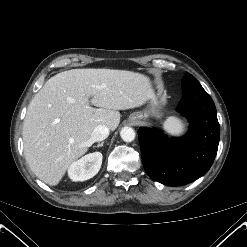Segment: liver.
Wrapping results in <instances>:
<instances>
[{
  "mask_svg": "<svg viewBox=\"0 0 247 247\" xmlns=\"http://www.w3.org/2000/svg\"><path fill=\"white\" fill-rule=\"evenodd\" d=\"M152 97L149 77L132 71L89 68L56 74L31 100L24 119L30 169L44 183L57 185L93 144L96 126L114 131L120 123L118 110L139 107Z\"/></svg>",
  "mask_w": 247,
  "mask_h": 247,
  "instance_id": "6515ba94",
  "label": "liver"
}]
</instances>
